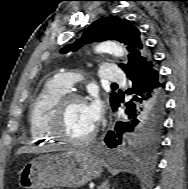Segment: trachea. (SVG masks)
I'll return each mask as SVG.
<instances>
[{
    "label": "trachea",
    "instance_id": "obj_1",
    "mask_svg": "<svg viewBox=\"0 0 188 189\" xmlns=\"http://www.w3.org/2000/svg\"><path fill=\"white\" fill-rule=\"evenodd\" d=\"M112 85H117L116 83H113Z\"/></svg>",
    "mask_w": 188,
    "mask_h": 189
}]
</instances>
